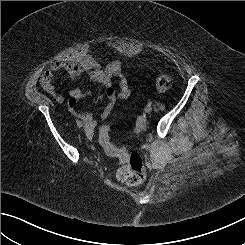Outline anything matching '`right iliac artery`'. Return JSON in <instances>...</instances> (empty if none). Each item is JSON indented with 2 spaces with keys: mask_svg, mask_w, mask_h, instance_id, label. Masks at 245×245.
I'll list each match as a JSON object with an SVG mask.
<instances>
[{
  "mask_svg": "<svg viewBox=\"0 0 245 245\" xmlns=\"http://www.w3.org/2000/svg\"><path fill=\"white\" fill-rule=\"evenodd\" d=\"M77 125L79 126L81 122L79 120H76Z\"/></svg>",
  "mask_w": 245,
  "mask_h": 245,
  "instance_id": "82829eb1",
  "label": "right iliac artery"
}]
</instances>
